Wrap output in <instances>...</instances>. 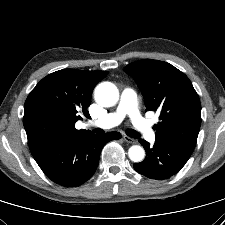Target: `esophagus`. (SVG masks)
<instances>
[{
  "label": "esophagus",
  "mask_w": 225,
  "mask_h": 225,
  "mask_svg": "<svg viewBox=\"0 0 225 225\" xmlns=\"http://www.w3.org/2000/svg\"><path fill=\"white\" fill-rule=\"evenodd\" d=\"M123 139H124L125 142L130 143V144H135L136 143L135 139L130 138L128 136H123Z\"/></svg>",
  "instance_id": "obj_1"
}]
</instances>
